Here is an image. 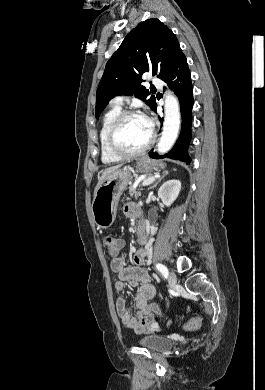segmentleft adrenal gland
I'll list each match as a JSON object with an SVG mask.
<instances>
[{
	"instance_id": "left-adrenal-gland-1",
	"label": "left adrenal gland",
	"mask_w": 265,
	"mask_h": 390,
	"mask_svg": "<svg viewBox=\"0 0 265 390\" xmlns=\"http://www.w3.org/2000/svg\"><path fill=\"white\" fill-rule=\"evenodd\" d=\"M168 174H169L168 171H164L163 174H162V176H161V177L153 184V186H151L149 189H152V188L156 187L157 184H158L165 176H167Z\"/></svg>"
}]
</instances>
